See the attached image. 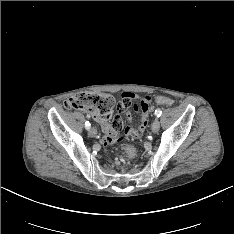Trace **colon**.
Instances as JSON below:
<instances>
[{"instance_id":"colon-1","label":"colon","mask_w":234,"mask_h":234,"mask_svg":"<svg viewBox=\"0 0 234 234\" xmlns=\"http://www.w3.org/2000/svg\"><path fill=\"white\" fill-rule=\"evenodd\" d=\"M127 96L129 95H125L122 97L127 98ZM132 101L133 100H131V104ZM154 101L157 104L162 103L165 105H171L173 103L171 99L160 95L155 96ZM120 102H122V100ZM65 107L67 109H76L90 112L93 113L98 119L108 121L111 118L112 110L114 107V99L107 93H81L68 99L65 102ZM118 107L119 106L117 105L116 108L118 109ZM122 150L127 153V157L129 159H132L135 156V150L131 148L130 144H123Z\"/></svg>"}]
</instances>
